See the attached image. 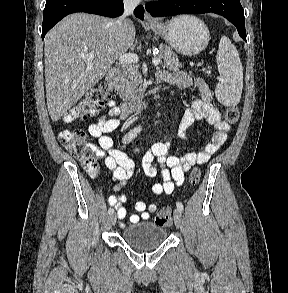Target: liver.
Returning <instances> with one entry per match:
<instances>
[{"label": "liver", "instance_id": "obj_1", "mask_svg": "<svg viewBox=\"0 0 288 293\" xmlns=\"http://www.w3.org/2000/svg\"><path fill=\"white\" fill-rule=\"evenodd\" d=\"M116 20L87 13L62 19L45 37V84L48 112L58 121L106 74L114 61L133 45L136 30L126 19L120 30ZM93 53L86 61L82 55Z\"/></svg>", "mask_w": 288, "mask_h": 293}]
</instances>
